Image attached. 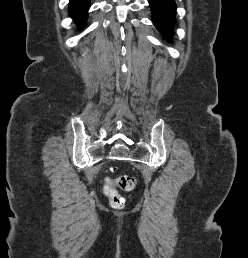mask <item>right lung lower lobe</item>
<instances>
[{"mask_svg":"<svg viewBox=\"0 0 248 258\" xmlns=\"http://www.w3.org/2000/svg\"><path fill=\"white\" fill-rule=\"evenodd\" d=\"M89 7L90 0H70L69 14L80 25H83L86 20Z\"/></svg>","mask_w":248,"mask_h":258,"instance_id":"1","label":"right lung lower lobe"}]
</instances>
